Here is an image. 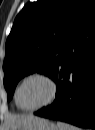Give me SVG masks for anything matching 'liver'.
I'll use <instances>...</instances> for the list:
<instances>
[{
  "mask_svg": "<svg viewBox=\"0 0 95 130\" xmlns=\"http://www.w3.org/2000/svg\"><path fill=\"white\" fill-rule=\"evenodd\" d=\"M34 117L35 116L32 114L10 116L7 120V128L8 130H18L21 126L28 123Z\"/></svg>",
  "mask_w": 95,
  "mask_h": 130,
  "instance_id": "liver-1",
  "label": "liver"
}]
</instances>
